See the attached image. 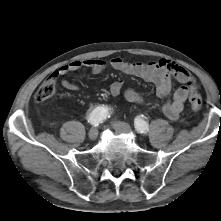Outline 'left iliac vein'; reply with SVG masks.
<instances>
[{
  "label": "left iliac vein",
  "instance_id": "obj_1",
  "mask_svg": "<svg viewBox=\"0 0 221 221\" xmlns=\"http://www.w3.org/2000/svg\"><path fill=\"white\" fill-rule=\"evenodd\" d=\"M113 128L118 132H131V127L125 122L116 121L113 123Z\"/></svg>",
  "mask_w": 221,
  "mask_h": 221
}]
</instances>
